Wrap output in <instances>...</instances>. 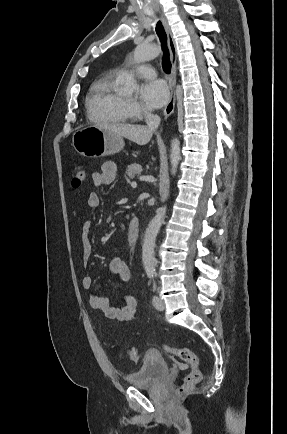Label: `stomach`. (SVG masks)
<instances>
[{"label":"stomach","mask_w":287,"mask_h":434,"mask_svg":"<svg viewBox=\"0 0 287 434\" xmlns=\"http://www.w3.org/2000/svg\"><path fill=\"white\" fill-rule=\"evenodd\" d=\"M123 137L97 126H86L74 132L72 145L81 155L90 158L119 153L124 147Z\"/></svg>","instance_id":"1"}]
</instances>
